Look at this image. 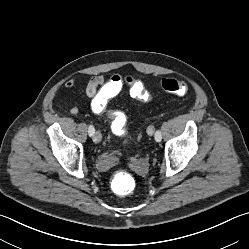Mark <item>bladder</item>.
I'll list each match as a JSON object with an SVG mask.
<instances>
[{
	"label": "bladder",
	"instance_id": "1",
	"mask_svg": "<svg viewBox=\"0 0 249 249\" xmlns=\"http://www.w3.org/2000/svg\"><path fill=\"white\" fill-rule=\"evenodd\" d=\"M96 166L99 170H105L108 168L109 164H104V163L100 162V163H97Z\"/></svg>",
	"mask_w": 249,
	"mask_h": 249
}]
</instances>
